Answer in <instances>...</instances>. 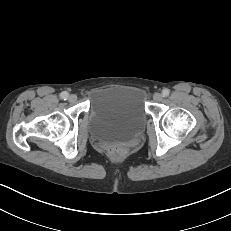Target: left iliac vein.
I'll use <instances>...</instances> for the list:
<instances>
[{
	"label": "left iliac vein",
	"instance_id": "4c4485c4",
	"mask_svg": "<svg viewBox=\"0 0 231 231\" xmlns=\"http://www.w3.org/2000/svg\"><path fill=\"white\" fill-rule=\"evenodd\" d=\"M163 99V96L161 93H154L153 94V100L155 102H160Z\"/></svg>",
	"mask_w": 231,
	"mask_h": 231
}]
</instances>
